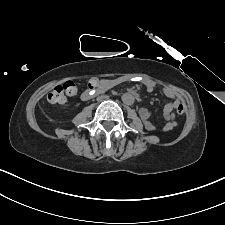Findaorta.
Segmentation results:
<instances>
[{
  "instance_id": "aorta-1",
  "label": "aorta",
  "mask_w": 225,
  "mask_h": 225,
  "mask_svg": "<svg viewBox=\"0 0 225 225\" xmlns=\"http://www.w3.org/2000/svg\"><path fill=\"white\" fill-rule=\"evenodd\" d=\"M122 101L127 105H131L134 103V96L130 93H125L122 95Z\"/></svg>"
}]
</instances>
